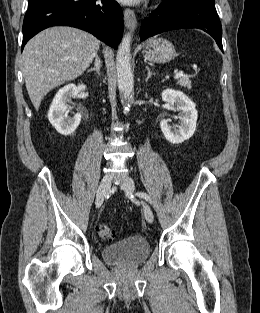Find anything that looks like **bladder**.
Segmentation results:
<instances>
[{"label":"bladder","instance_id":"1","mask_svg":"<svg viewBox=\"0 0 260 313\" xmlns=\"http://www.w3.org/2000/svg\"><path fill=\"white\" fill-rule=\"evenodd\" d=\"M150 252V244L144 237L131 235L106 246L101 255L105 261L116 265L135 266L146 260Z\"/></svg>","mask_w":260,"mask_h":313}]
</instances>
